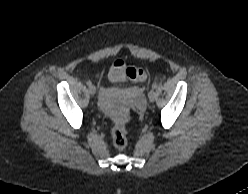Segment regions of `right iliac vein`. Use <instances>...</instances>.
<instances>
[{
  "label": "right iliac vein",
  "instance_id": "1",
  "mask_svg": "<svg viewBox=\"0 0 248 194\" xmlns=\"http://www.w3.org/2000/svg\"><path fill=\"white\" fill-rule=\"evenodd\" d=\"M89 93L92 96L95 95V93H96V87L93 86V85L89 86Z\"/></svg>",
  "mask_w": 248,
  "mask_h": 194
}]
</instances>
